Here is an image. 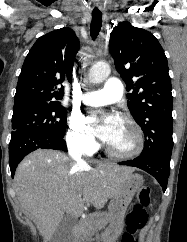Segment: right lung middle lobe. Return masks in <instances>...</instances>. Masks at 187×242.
<instances>
[{
	"label": "right lung middle lobe",
	"instance_id": "1",
	"mask_svg": "<svg viewBox=\"0 0 187 242\" xmlns=\"http://www.w3.org/2000/svg\"><path fill=\"white\" fill-rule=\"evenodd\" d=\"M66 110L60 103H30L14 106L12 133L33 132L64 137Z\"/></svg>",
	"mask_w": 187,
	"mask_h": 242
}]
</instances>
